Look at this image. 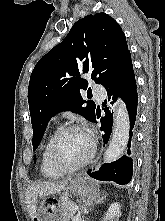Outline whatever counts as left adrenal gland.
<instances>
[{
	"instance_id": "left-adrenal-gland-1",
	"label": "left adrenal gland",
	"mask_w": 165,
	"mask_h": 221,
	"mask_svg": "<svg viewBox=\"0 0 165 221\" xmlns=\"http://www.w3.org/2000/svg\"><path fill=\"white\" fill-rule=\"evenodd\" d=\"M106 199V196H102L101 194L98 193L92 197H89L86 201L85 204L83 205V208L89 207V206H94L95 204L102 203L103 200Z\"/></svg>"
}]
</instances>
